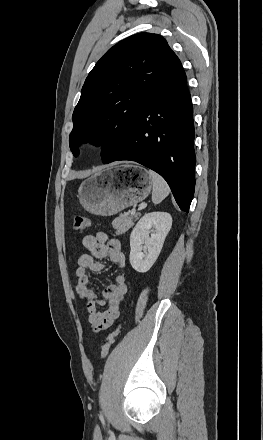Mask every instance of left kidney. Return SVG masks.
<instances>
[{"label": "left kidney", "mask_w": 263, "mask_h": 440, "mask_svg": "<svg viewBox=\"0 0 263 440\" xmlns=\"http://www.w3.org/2000/svg\"><path fill=\"white\" fill-rule=\"evenodd\" d=\"M171 226L172 217L166 212L147 213L138 221L130 235V264L134 270L145 273L152 267Z\"/></svg>", "instance_id": "obj_1"}]
</instances>
